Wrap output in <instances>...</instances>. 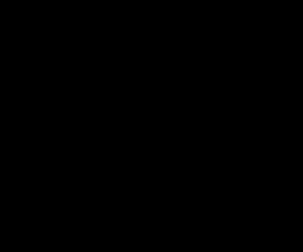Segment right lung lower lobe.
I'll list each match as a JSON object with an SVG mask.
<instances>
[{
	"label": "right lung lower lobe",
	"instance_id": "right-lung-lower-lobe-1",
	"mask_svg": "<svg viewBox=\"0 0 303 252\" xmlns=\"http://www.w3.org/2000/svg\"><path fill=\"white\" fill-rule=\"evenodd\" d=\"M75 130L74 157L80 162L84 176L90 184L105 188L109 184L119 182L123 169L127 170V167L109 161L106 155L99 152V146L109 147L113 135L87 124L76 126Z\"/></svg>",
	"mask_w": 303,
	"mask_h": 252
}]
</instances>
